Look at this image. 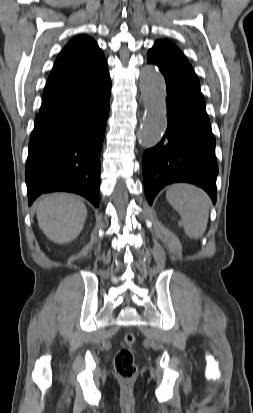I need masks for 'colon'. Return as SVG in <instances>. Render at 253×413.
<instances>
[{
  "label": "colon",
  "mask_w": 253,
  "mask_h": 413,
  "mask_svg": "<svg viewBox=\"0 0 253 413\" xmlns=\"http://www.w3.org/2000/svg\"><path fill=\"white\" fill-rule=\"evenodd\" d=\"M136 343L134 333H126L123 340V346L116 352L114 357V369L117 376L124 380L130 381L137 374V367L134 362L133 346Z\"/></svg>",
  "instance_id": "obj_1"
}]
</instances>
